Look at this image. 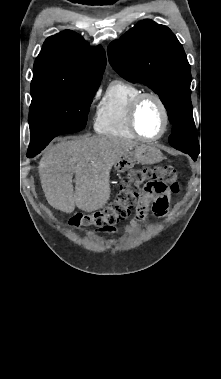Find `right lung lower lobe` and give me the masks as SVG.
Wrapping results in <instances>:
<instances>
[{
	"mask_svg": "<svg viewBox=\"0 0 221 379\" xmlns=\"http://www.w3.org/2000/svg\"><path fill=\"white\" fill-rule=\"evenodd\" d=\"M44 147H39V148H32V147H29L28 149V152H27V157L28 158H31V157H34L35 155H37Z\"/></svg>",
	"mask_w": 221,
	"mask_h": 379,
	"instance_id": "1",
	"label": "right lung lower lobe"
}]
</instances>
